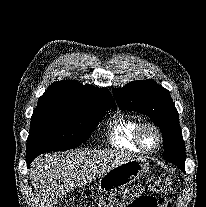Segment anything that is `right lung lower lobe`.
<instances>
[{"label":"right lung lower lobe","instance_id":"right-lung-lower-lobe-1","mask_svg":"<svg viewBox=\"0 0 206 207\" xmlns=\"http://www.w3.org/2000/svg\"><path fill=\"white\" fill-rule=\"evenodd\" d=\"M36 157V155H30V156H26V162H27V166L29 167L31 162L33 161V159Z\"/></svg>","mask_w":206,"mask_h":207}]
</instances>
